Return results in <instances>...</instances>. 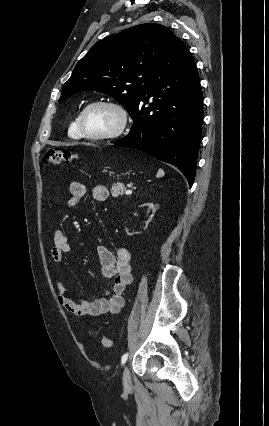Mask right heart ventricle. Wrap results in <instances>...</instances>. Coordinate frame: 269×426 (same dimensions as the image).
Masks as SVG:
<instances>
[{
	"label": "right heart ventricle",
	"instance_id": "right-heart-ventricle-1",
	"mask_svg": "<svg viewBox=\"0 0 269 426\" xmlns=\"http://www.w3.org/2000/svg\"><path fill=\"white\" fill-rule=\"evenodd\" d=\"M78 117L76 116L70 123L69 125V129H68V134L75 139H80L82 138L79 126H78Z\"/></svg>",
	"mask_w": 269,
	"mask_h": 426
}]
</instances>
